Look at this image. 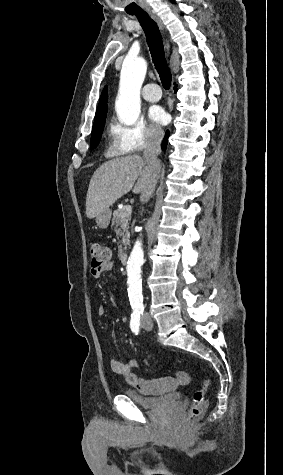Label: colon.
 <instances>
[{
    "label": "colon",
    "mask_w": 283,
    "mask_h": 475,
    "mask_svg": "<svg viewBox=\"0 0 283 475\" xmlns=\"http://www.w3.org/2000/svg\"><path fill=\"white\" fill-rule=\"evenodd\" d=\"M90 255L92 259V269H99L105 266L109 268L111 266V263L109 262L110 252L100 243L94 242L91 245ZM208 387L209 383L205 381L200 385V388L194 392L191 408L183 422H189L192 419L199 418L204 413L206 407L204 393Z\"/></svg>",
    "instance_id": "colon-1"
}]
</instances>
